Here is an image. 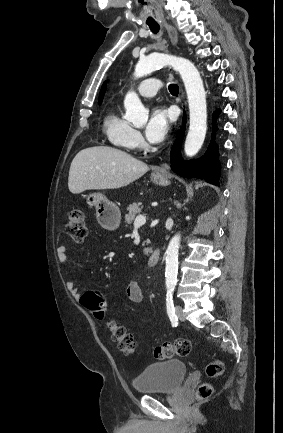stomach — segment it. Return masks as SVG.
<instances>
[{
	"instance_id": "stomach-1",
	"label": "stomach",
	"mask_w": 283,
	"mask_h": 433,
	"mask_svg": "<svg viewBox=\"0 0 283 433\" xmlns=\"http://www.w3.org/2000/svg\"><path fill=\"white\" fill-rule=\"evenodd\" d=\"M151 180L152 182H156V184H163V186L169 184L167 174L159 172V170L152 172ZM87 204H89V206H95L98 221H101L104 225H109L112 229L119 227L121 221L120 208L117 204L108 200L102 192H92V194H88Z\"/></svg>"
}]
</instances>
